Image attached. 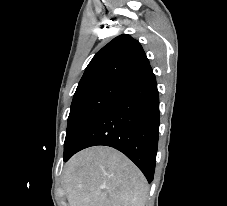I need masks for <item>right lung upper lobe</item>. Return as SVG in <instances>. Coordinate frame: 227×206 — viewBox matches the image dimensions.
Here are the masks:
<instances>
[{"instance_id":"obj_1","label":"right lung upper lobe","mask_w":227,"mask_h":206,"mask_svg":"<svg viewBox=\"0 0 227 206\" xmlns=\"http://www.w3.org/2000/svg\"><path fill=\"white\" fill-rule=\"evenodd\" d=\"M151 71L149 60L140 43L130 35L122 34L95 54L77 89L107 79L130 82Z\"/></svg>"}]
</instances>
